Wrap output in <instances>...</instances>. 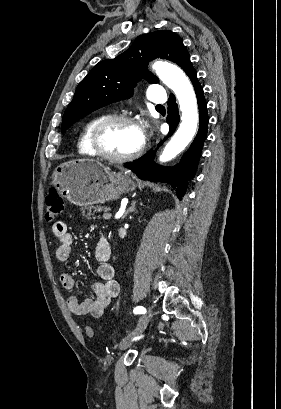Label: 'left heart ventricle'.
I'll return each mask as SVG.
<instances>
[{
  "mask_svg": "<svg viewBox=\"0 0 281 409\" xmlns=\"http://www.w3.org/2000/svg\"><path fill=\"white\" fill-rule=\"evenodd\" d=\"M142 138V133L134 126L117 123L105 131L102 144L105 151L110 155L124 156L138 149Z\"/></svg>",
  "mask_w": 281,
  "mask_h": 409,
  "instance_id": "b2bd125f",
  "label": "left heart ventricle"
}]
</instances>
